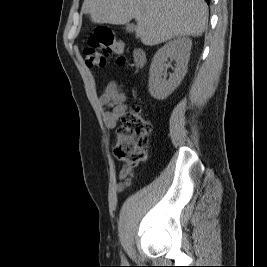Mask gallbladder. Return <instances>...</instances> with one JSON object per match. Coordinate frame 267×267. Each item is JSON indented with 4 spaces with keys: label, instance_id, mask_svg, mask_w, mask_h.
Returning a JSON list of instances; mask_svg holds the SVG:
<instances>
[{
    "label": "gallbladder",
    "instance_id": "bac80fb5",
    "mask_svg": "<svg viewBox=\"0 0 267 267\" xmlns=\"http://www.w3.org/2000/svg\"><path fill=\"white\" fill-rule=\"evenodd\" d=\"M125 29H126V31H128V32H133V31H135L136 26H135V24H133V23H128V24H126Z\"/></svg>",
    "mask_w": 267,
    "mask_h": 267
}]
</instances>
